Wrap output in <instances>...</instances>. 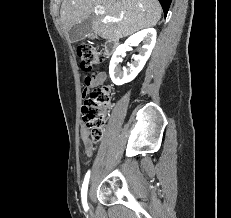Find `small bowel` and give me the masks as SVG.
<instances>
[{
    "mask_svg": "<svg viewBox=\"0 0 231 218\" xmlns=\"http://www.w3.org/2000/svg\"><path fill=\"white\" fill-rule=\"evenodd\" d=\"M91 73L94 75L86 77L85 79V88L83 90V96H86L90 89L99 86L106 79L105 73L98 72L97 69H92ZM79 135L85 154L88 157L91 156L94 151V143L90 139L88 130L85 125L80 126Z\"/></svg>",
    "mask_w": 231,
    "mask_h": 218,
    "instance_id": "1",
    "label": "small bowel"
}]
</instances>
